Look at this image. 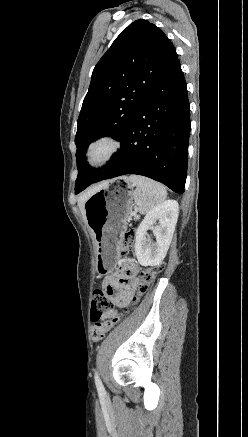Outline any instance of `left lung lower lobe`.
Masks as SVG:
<instances>
[{"label": "left lung lower lobe", "instance_id": "obj_1", "mask_svg": "<svg viewBox=\"0 0 248 437\" xmlns=\"http://www.w3.org/2000/svg\"><path fill=\"white\" fill-rule=\"evenodd\" d=\"M190 107L179 59L134 114L116 153L94 182L138 174L183 193L187 175ZM93 182V183H94Z\"/></svg>", "mask_w": 248, "mask_h": 437}]
</instances>
